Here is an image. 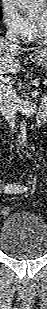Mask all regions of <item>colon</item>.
Segmentation results:
<instances>
[{"instance_id": "colon-1", "label": "colon", "mask_w": 47, "mask_h": 309, "mask_svg": "<svg viewBox=\"0 0 47 309\" xmlns=\"http://www.w3.org/2000/svg\"><path fill=\"white\" fill-rule=\"evenodd\" d=\"M1 212L4 216H8L11 213V210L9 207H4Z\"/></svg>"}]
</instances>
